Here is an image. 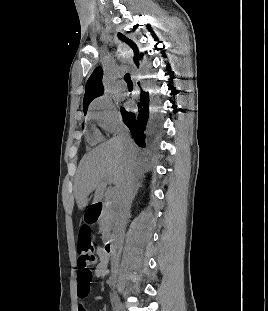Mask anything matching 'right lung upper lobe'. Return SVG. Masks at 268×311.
<instances>
[{
    "instance_id": "obj_1",
    "label": "right lung upper lobe",
    "mask_w": 268,
    "mask_h": 311,
    "mask_svg": "<svg viewBox=\"0 0 268 311\" xmlns=\"http://www.w3.org/2000/svg\"><path fill=\"white\" fill-rule=\"evenodd\" d=\"M118 38L125 42L134 52V63L138 66L139 59L141 58V55H139V50L137 45L129 38L124 36L121 33H118ZM102 76H103V70L101 67H97L90 77L88 78V81L86 83L85 87V95H84V100H83V109L84 112L87 111L88 105L90 102L103 94V84H102Z\"/></svg>"
}]
</instances>
